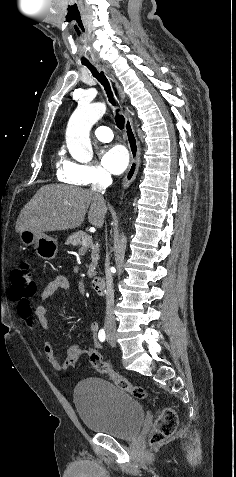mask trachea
<instances>
[{
    "label": "trachea",
    "instance_id": "3493384b",
    "mask_svg": "<svg viewBox=\"0 0 236 477\" xmlns=\"http://www.w3.org/2000/svg\"><path fill=\"white\" fill-rule=\"evenodd\" d=\"M84 65L91 71L92 75L104 86V89L106 91V94L108 96L109 102L113 105L116 106V102L113 98V93L111 91V87L109 84L108 79L104 75L103 72H98V70L91 64L89 63H84ZM115 122L117 127L122 130L124 128L125 124V119L124 116L119 114V109H116V115H115Z\"/></svg>",
    "mask_w": 236,
    "mask_h": 477
}]
</instances>
